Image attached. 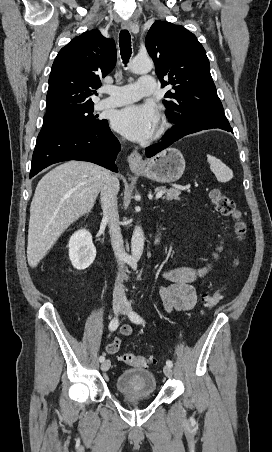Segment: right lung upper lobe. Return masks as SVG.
I'll use <instances>...</instances> for the list:
<instances>
[{
	"mask_svg": "<svg viewBox=\"0 0 272 452\" xmlns=\"http://www.w3.org/2000/svg\"><path fill=\"white\" fill-rule=\"evenodd\" d=\"M116 46L99 30L84 32L63 47L49 77L46 114L94 104L91 96L115 66Z\"/></svg>",
	"mask_w": 272,
	"mask_h": 452,
	"instance_id": "cb5924a9",
	"label": "right lung upper lobe"
}]
</instances>
